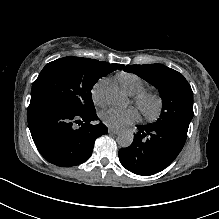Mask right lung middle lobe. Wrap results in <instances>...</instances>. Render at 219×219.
Instances as JSON below:
<instances>
[{"label": "right lung middle lobe", "mask_w": 219, "mask_h": 219, "mask_svg": "<svg viewBox=\"0 0 219 219\" xmlns=\"http://www.w3.org/2000/svg\"><path fill=\"white\" fill-rule=\"evenodd\" d=\"M122 64L94 59L64 57L48 63L34 81L31 99L54 100L77 113L95 112L91 89L99 78Z\"/></svg>", "instance_id": "right-lung-middle-lobe-1"}]
</instances>
